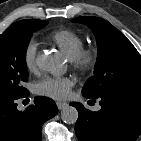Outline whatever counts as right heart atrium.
Returning a JSON list of instances; mask_svg holds the SVG:
<instances>
[{"label": "right heart atrium", "instance_id": "d8ad5b80", "mask_svg": "<svg viewBox=\"0 0 141 141\" xmlns=\"http://www.w3.org/2000/svg\"><path fill=\"white\" fill-rule=\"evenodd\" d=\"M36 52H37L36 43L31 41L26 45L23 53L24 66L26 70L30 73L36 70Z\"/></svg>", "mask_w": 141, "mask_h": 141}]
</instances>
